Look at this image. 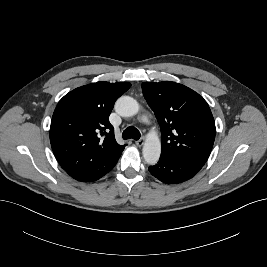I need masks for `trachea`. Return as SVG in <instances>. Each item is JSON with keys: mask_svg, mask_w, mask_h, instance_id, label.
Wrapping results in <instances>:
<instances>
[{"mask_svg": "<svg viewBox=\"0 0 267 267\" xmlns=\"http://www.w3.org/2000/svg\"><path fill=\"white\" fill-rule=\"evenodd\" d=\"M122 137L124 140H127V139L139 140L141 137V134L138 129H136L133 126H129L123 131Z\"/></svg>", "mask_w": 267, "mask_h": 267, "instance_id": "1", "label": "trachea"}]
</instances>
